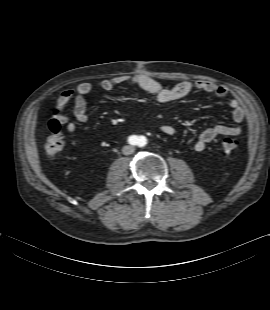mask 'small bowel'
<instances>
[{
  "instance_id": "1",
  "label": "small bowel",
  "mask_w": 270,
  "mask_h": 310,
  "mask_svg": "<svg viewBox=\"0 0 270 310\" xmlns=\"http://www.w3.org/2000/svg\"><path fill=\"white\" fill-rule=\"evenodd\" d=\"M120 84L136 85L152 95L160 103H168L183 99L195 90L214 94L221 99L226 98L229 95V90L226 86L209 81H183L173 87L167 88L163 87L156 79L138 73L131 76H118L103 79L98 82L84 81L75 89H67L63 91L57 99L56 107L54 109V117L57 118L62 125H65L69 133H73L76 130L77 125L74 121L70 120L65 112L67 104L70 101H73V117L79 123H86L88 120L86 112V96L95 89L111 91ZM229 106L232 110V117L235 124H217L203 130L194 144V149L196 151H202L207 143L213 141L218 136H238L242 133L240 123L245 119V109L237 98L230 99ZM160 130L166 135H173L175 133V128L169 123H162L160 125Z\"/></svg>"
}]
</instances>
